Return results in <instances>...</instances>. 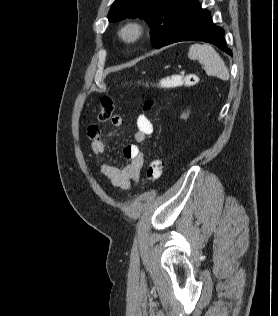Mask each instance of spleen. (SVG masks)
Listing matches in <instances>:
<instances>
[{"mask_svg": "<svg viewBox=\"0 0 278 316\" xmlns=\"http://www.w3.org/2000/svg\"><path fill=\"white\" fill-rule=\"evenodd\" d=\"M188 57L192 60H198L199 63L203 64L204 70L208 75H214L223 80L229 79L228 68L212 46L193 44L189 48Z\"/></svg>", "mask_w": 278, "mask_h": 316, "instance_id": "3e777b00", "label": "spleen"}]
</instances>
